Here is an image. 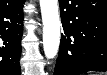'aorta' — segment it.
Masks as SVG:
<instances>
[{
  "label": "aorta",
  "mask_w": 107,
  "mask_h": 75,
  "mask_svg": "<svg viewBox=\"0 0 107 75\" xmlns=\"http://www.w3.org/2000/svg\"><path fill=\"white\" fill-rule=\"evenodd\" d=\"M43 21V47L47 59H53L60 44V20L57 0H40Z\"/></svg>",
  "instance_id": "obj_1"
}]
</instances>
